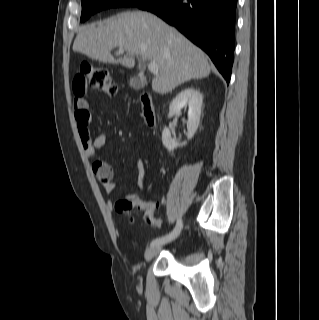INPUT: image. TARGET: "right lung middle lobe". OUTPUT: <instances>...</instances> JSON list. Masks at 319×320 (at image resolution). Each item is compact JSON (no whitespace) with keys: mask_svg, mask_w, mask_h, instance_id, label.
<instances>
[{"mask_svg":"<svg viewBox=\"0 0 319 320\" xmlns=\"http://www.w3.org/2000/svg\"><path fill=\"white\" fill-rule=\"evenodd\" d=\"M152 0H81V21L87 20L92 14L112 7H130L147 4Z\"/></svg>","mask_w":319,"mask_h":320,"instance_id":"obj_1","label":"right lung middle lobe"}]
</instances>
